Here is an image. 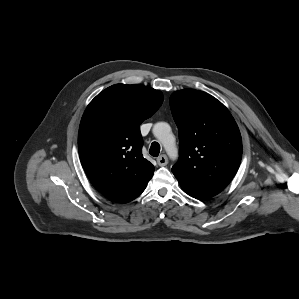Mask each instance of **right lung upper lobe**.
<instances>
[{"instance_id": "1", "label": "right lung upper lobe", "mask_w": 299, "mask_h": 299, "mask_svg": "<svg viewBox=\"0 0 299 299\" xmlns=\"http://www.w3.org/2000/svg\"><path fill=\"white\" fill-rule=\"evenodd\" d=\"M162 102L159 90L115 84L87 106L79 126V157L92 185L108 199L129 202L152 178L154 166L142 156L139 125Z\"/></svg>"}]
</instances>
